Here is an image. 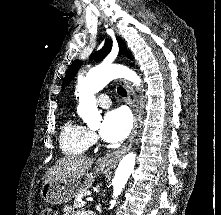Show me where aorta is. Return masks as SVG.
Returning <instances> with one entry per match:
<instances>
[{
  "label": "aorta",
  "mask_w": 221,
  "mask_h": 215,
  "mask_svg": "<svg viewBox=\"0 0 221 215\" xmlns=\"http://www.w3.org/2000/svg\"><path fill=\"white\" fill-rule=\"evenodd\" d=\"M117 78H126L139 86L141 79L131 69L122 65H105L101 64L78 81L77 91L79 96V105L77 107L78 115L88 125H92L100 118V113L97 108L95 93L102 90L110 81ZM136 162V154L128 153L120 161L114 178L113 184V198L116 199L125 187ZM111 203H115L112 200Z\"/></svg>",
  "instance_id": "obj_1"
}]
</instances>
